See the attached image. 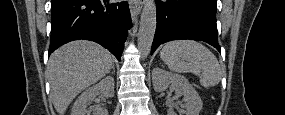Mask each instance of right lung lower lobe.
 Segmentation results:
<instances>
[{
  "label": "right lung lower lobe",
  "mask_w": 285,
  "mask_h": 115,
  "mask_svg": "<svg viewBox=\"0 0 285 115\" xmlns=\"http://www.w3.org/2000/svg\"><path fill=\"white\" fill-rule=\"evenodd\" d=\"M131 25L126 1L110 4L108 0H51L48 54L69 41L86 39L104 46L120 61Z\"/></svg>",
  "instance_id": "1"
}]
</instances>
